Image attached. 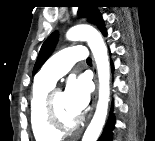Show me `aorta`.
Segmentation results:
<instances>
[{
    "label": "aorta",
    "instance_id": "762f6f07",
    "mask_svg": "<svg viewBox=\"0 0 155 141\" xmlns=\"http://www.w3.org/2000/svg\"><path fill=\"white\" fill-rule=\"evenodd\" d=\"M66 37L71 41H87L97 65L99 99L95 114L82 138V141H97L106 120L110 95V65L107 47L101 34L89 25H77L70 28Z\"/></svg>",
    "mask_w": 155,
    "mask_h": 141
}]
</instances>
